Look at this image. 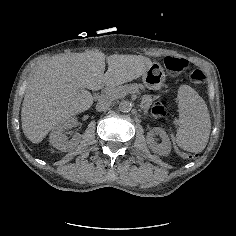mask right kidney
I'll list each match as a JSON object with an SVG mask.
<instances>
[{
    "instance_id": "right-kidney-1",
    "label": "right kidney",
    "mask_w": 236,
    "mask_h": 236,
    "mask_svg": "<svg viewBox=\"0 0 236 236\" xmlns=\"http://www.w3.org/2000/svg\"><path fill=\"white\" fill-rule=\"evenodd\" d=\"M77 123L74 118L66 120L61 126L56 127L50 134V144L63 152H70L81 148V135L75 134L70 141L64 135L66 128H72Z\"/></svg>"
}]
</instances>
